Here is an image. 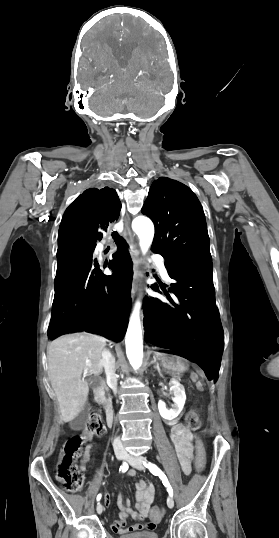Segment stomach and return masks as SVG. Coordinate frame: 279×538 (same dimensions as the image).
<instances>
[{
  "instance_id": "1",
  "label": "stomach",
  "mask_w": 279,
  "mask_h": 538,
  "mask_svg": "<svg viewBox=\"0 0 279 538\" xmlns=\"http://www.w3.org/2000/svg\"><path fill=\"white\" fill-rule=\"evenodd\" d=\"M156 360H159L163 368L171 370V372H181L183 367V360L180 358L179 353H160L156 354Z\"/></svg>"
}]
</instances>
